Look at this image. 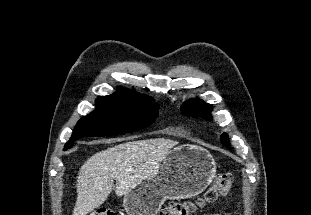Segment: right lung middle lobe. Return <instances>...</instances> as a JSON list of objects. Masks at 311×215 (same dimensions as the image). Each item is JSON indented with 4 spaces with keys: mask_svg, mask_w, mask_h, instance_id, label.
I'll list each match as a JSON object with an SVG mask.
<instances>
[{
    "mask_svg": "<svg viewBox=\"0 0 311 215\" xmlns=\"http://www.w3.org/2000/svg\"><path fill=\"white\" fill-rule=\"evenodd\" d=\"M159 105L154 101L136 102L109 97L96 100V110L82 117L64 150L75 140L88 136H109L132 132L151 125L157 118Z\"/></svg>",
    "mask_w": 311,
    "mask_h": 215,
    "instance_id": "right-lung-middle-lobe-1",
    "label": "right lung middle lobe"
}]
</instances>
